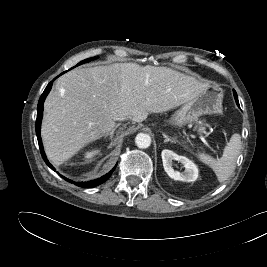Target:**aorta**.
<instances>
[{"mask_svg":"<svg viewBox=\"0 0 267 267\" xmlns=\"http://www.w3.org/2000/svg\"><path fill=\"white\" fill-rule=\"evenodd\" d=\"M135 143L138 148L146 149L151 145V137L146 133H139L135 138Z\"/></svg>","mask_w":267,"mask_h":267,"instance_id":"762f6f07","label":"aorta"}]
</instances>
